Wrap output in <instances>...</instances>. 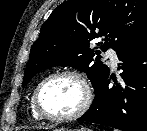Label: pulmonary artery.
I'll return each instance as SVG.
<instances>
[{
	"instance_id": "pulmonary-artery-1",
	"label": "pulmonary artery",
	"mask_w": 147,
	"mask_h": 131,
	"mask_svg": "<svg viewBox=\"0 0 147 131\" xmlns=\"http://www.w3.org/2000/svg\"><path fill=\"white\" fill-rule=\"evenodd\" d=\"M105 57L109 58L113 68H116L118 63V56L113 49H108L105 53Z\"/></svg>"
}]
</instances>
